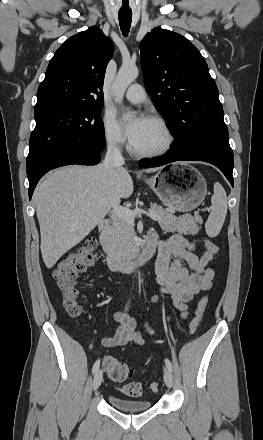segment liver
Returning a JSON list of instances; mask_svg holds the SVG:
<instances>
[{
    "mask_svg": "<svg viewBox=\"0 0 263 440\" xmlns=\"http://www.w3.org/2000/svg\"><path fill=\"white\" fill-rule=\"evenodd\" d=\"M158 168L147 169L146 173ZM127 170L111 175L104 163L68 166L50 172L35 189L33 198L40 225L41 254L47 268L80 243L120 198L133 193Z\"/></svg>",
    "mask_w": 263,
    "mask_h": 440,
    "instance_id": "liver-1",
    "label": "liver"
}]
</instances>
